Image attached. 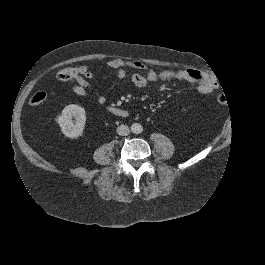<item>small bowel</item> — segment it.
<instances>
[{"label": "small bowel", "mask_w": 265, "mask_h": 265, "mask_svg": "<svg viewBox=\"0 0 265 265\" xmlns=\"http://www.w3.org/2000/svg\"><path fill=\"white\" fill-rule=\"evenodd\" d=\"M107 66L110 69L116 71L118 79H124L127 75V69H135L131 76L132 83L139 88L145 87L148 84L155 83L157 81H186L190 83L198 84V91L202 94H210L217 88L216 81L208 75L194 69L186 70H154L147 67L145 64L139 61H126L122 59H114L107 62ZM81 72L74 77L75 84L72 86L74 94L80 97H87L89 92L93 90L91 80L93 73L87 66H80ZM94 98L99 104H103L106 98L100 92L94 93Z\"/></svg>", "instance_id": "obj_1"}]
</instances>
